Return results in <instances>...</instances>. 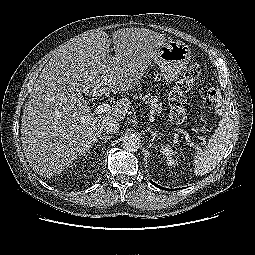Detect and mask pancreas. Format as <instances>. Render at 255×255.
I'll use <instances>...</instances> for the list:
<instances>
[{
	"label": "pancreas",
	"instance_id": "obj_1",
	"mask_svg": "<svg viewBox=\"0 0 255 255\" xmlns=\"http://www.w3.org/2000/svg\"><path fill=\"white\" fill-rule=\"evenodd\" d=\"M136 98L143 100L156 116H159L162 112V103L158 100L157 96H151L150 94L143 95L142 93H139L136 95Z\"/></svg>",
	"mask_w": 255,
	"mask_h": 255
}]
</instances>
